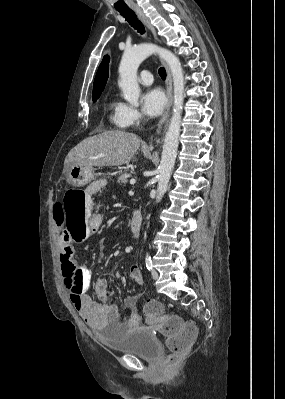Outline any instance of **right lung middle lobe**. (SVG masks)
Wrapping results in <instances>:
<instances>
[{"mask_svg": "<svg viewBox=\"0 0 285 399\" xmlns=\"http://www.w3.org/2000/svg\"><path fill=\"white\" fill-rule=\"evenodd\" d=\"M99 96H100V94L93 95V96H92V98H93V101H96V100L99 98Z\"/></svg>", "mask_w": 285, "mask_h": 399, "instance_id": "1", "label": "right lung middle lobe"}]
</instances>
